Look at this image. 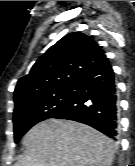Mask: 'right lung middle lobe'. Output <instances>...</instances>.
I'll return each mask as SVG.
<instances>
[{
  "mask_svg": "<svg viewBox=\"0 0 135 166\" xmlns=\"http://www.w3.org/2000/svg\"><path fill=\"white\" fill-rule=\"evenodd\" d=\"M74 95L75 87H70L16 107L13 117L15 142L17 143L32 126L51 118L56 112L69 106Z\"/></svg>",
  "mask_w": 135,
  "mask_h": 166,
  "instance_id": "dd1d6c3e",
  "label": "right lung middle lobe"
}]
</instances>
